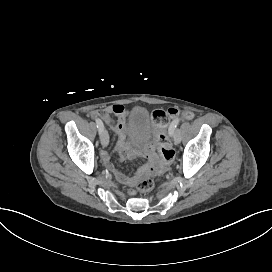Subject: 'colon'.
Masks as SVG:
<instances>
[{"label": "colon", "mask_w": 272, "mask_h": 272, "mask_svg": "<svg viewBox=\"0 0 272 272\" xmlns=\"http://www.w3.org/2000/svg\"><path fill=\"white\" fill-rule=\"evenodd\" d=\"M179 109L176 107H168L166 109H157L153 113L154 131L153 138L157 143V147L161 151L160 162L155 165L147 166L145 174L141 179L134 181L131 192L136 189L143 192H148L152 188L153 181H159L167 171V166L171 164V159L174 156V138L171 136V131L168 128L170 118L177 116ZM117 177H122L123 173L116 172Z\"/></svg>", "instance_id": "5ec220e1"}]
</instances>
